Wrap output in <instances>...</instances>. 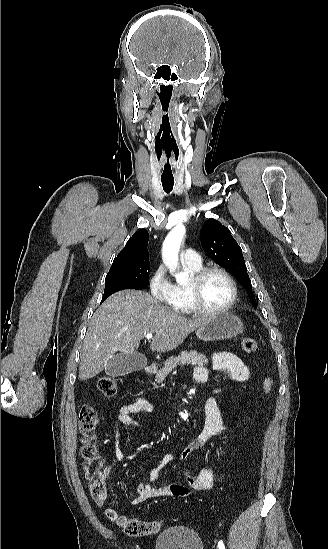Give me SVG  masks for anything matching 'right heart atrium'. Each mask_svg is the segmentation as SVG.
<instances>
[{"mask_svg": "<svg viewBox=\"0 0 328 549\" xmlns=\"http://www.w3.org/2000/svg\"><path fill=\"white\" fill-rule=\"evenodd\" d=\"M171 282L163 263H159L151 270L148 279L149 303H164L169 295Z\"/></svg>", "mask_w": 328, "mask_h": 549, "instance_id": "1", "label": "right heart atrium"}]
</instances>
